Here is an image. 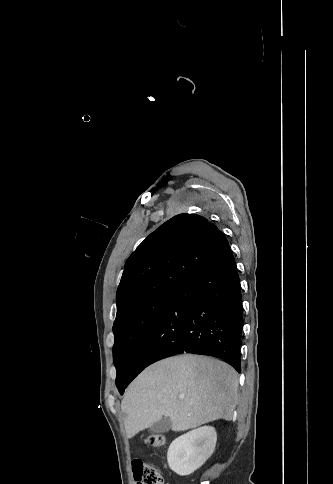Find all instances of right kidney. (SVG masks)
<instances>
[{"label": "right kidney", "mask_w": 333, "mask_h": 484, "mask_svg": "<svg viewBox=\"0 0 333 484\" xmlns=\"http://www.w3.org/2000/svg\"><path fill=\"white\" fill-rule=\"evenodd\" d=\"M217 441L214 427L203 426L176 438L169 446L167 461L171 470L187 476L212 455Z\"/></svg>", "instance_id": "ca27d5eb"}]
</instances>
